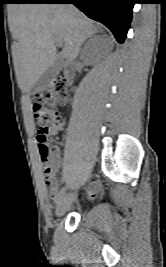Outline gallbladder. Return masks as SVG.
Returning <instances> with one entry per match:
<instances>
[{
    "label": "gallbladder",
    "mask_w": 166,
    "mask_h": 267,
    "mask_svg": "<svg viewBox=\"0 0 166 267\" xmlns=\"http://www.w3.org/2000/svg\"><path fill=\"white\" fill-rule=\"evenodd\" d=\"M62 66H63L62 59L61 57L58 56L53 65H51L42 73L37 82L30 89V92L32 94H35L50 87L52 85V82L62 69Z\"/></svg>",
    "instance_id": "1"
}]
</instances>
